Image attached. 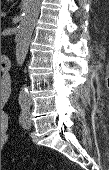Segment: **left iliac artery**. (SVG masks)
I'll return each mask as SVG.
<instances>
[{
	"label": "left iliac artery",
	"instance_id": "left-iliac-artery-1",
	"mask_svg": "<svg viewBox=\"0 0 109 170\" xmlns=\"http://www.w3.org/2000/svg\"><path fill=\"white\" fill-rule=\"evenodd\" d=\"M29 111V106L27 104H23L22 105V111H21V115L19 117V122L22 123L24 120V117L27 115Z\"/></svg>",
	"mask_w": 109,
	"mask_h": 170
}]
</instances>
